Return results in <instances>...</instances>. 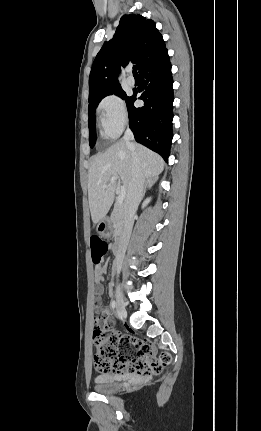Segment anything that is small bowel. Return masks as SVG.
<instances>
[{
    "label": "small bowel",
    "mask_w": 261,
    "mask_h": 431,
    "mask_svg": "<svg viewBox=\"0 0 261 431\" xmlns=\"http://www.w3.org/2000/svg\"><path fill=\"white\" fill-rule=\"evenodd\" d=\"M107 273V267L105 264L103 265H98L95 268L94 271V281H95V303H97V307H98V312L96 313V316L99 319H103V328L104 329H108L110 326V316H113V313H110L108 308L102 307L101 306V301H102V297L104 294V286H103V281H104V276Z\"/></svg>",
    "instance_id": "c3829d8e"
}]
</instances>
